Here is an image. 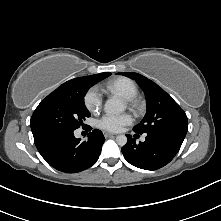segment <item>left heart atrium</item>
<instances>
[{"instance_id":"left-heart-atrium-1","label":"left heart atrium","mask_w":221,"mask_h":221,"mask_svg":"<svg viewBox=\"0 0 221 221\" xmlns=\"http://www.w3.org/2000/svg\"><path fill=\"white\" fill-rule=\"evenodd\" d=\"M132 117L128 113L111 114L107 113L98 121V126L106 131L118 132L125 126L131 124Z\"/></svg>"}]
</instances>
